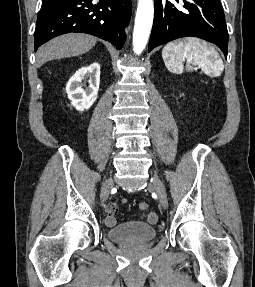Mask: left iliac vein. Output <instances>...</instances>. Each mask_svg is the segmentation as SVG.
Listing matches in <instances>:
<instances>
[{
    "label": "left iliac vein",
    "mask_w": 255,
    "mask_h": 287,
    "mask_svg": "<svg viewBox=\"0 0 255 287\" xmlns=\"http://www.w3.org/2000/svg\"><path fill=\"white\" fill-rule=\"evenodd\" d=\"M154 189L158 194L159 201L164 209L168 207V198L165 187L157 175H153L151 179Z\"/></svg>",
    "instance_id": "left-iliac-vein-1"
}]
</instances>
